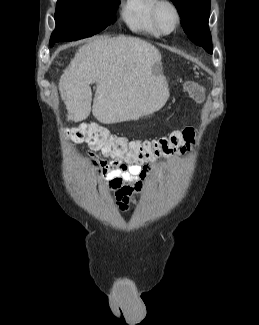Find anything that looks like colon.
<instances>
[{"label":"colon","mask_w":259,"mask_h":325,"mask_svg":"<svg viewBox=\"0 0 259 325\" xmlns=\"http://www.w3.org/2000/svg\"><path fill=\"white\" fill-rule=\"evenodd\" d=\"M184 89L197 102L205 99L204 87L194 81H187ZM67 135L87 142L92 150L101 151L111 159L130 163L144 162L175 148H195V141H199V136H195L193 128H185L168 136L144 141L113 135L97 124L80 125L67 131Z\"/></svg>","instance_id":"obj_1"}]
</instances>
